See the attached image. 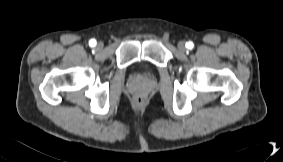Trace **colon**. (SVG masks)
Instances as JSON below:
<instances>
[{
  "instance_id": "obj_1",
  "label": "colon",
  "mask_w": 283,
  "mask_h": 162,
  "mask_svg": "<svg viewBox=\"0 0 283 162\" xmlns=\"http://www.w3.org/2000/svg\"><path fill=\"white\" fill-rule=\"evenodd\" d=\"M136 102L138 104L142 103L143 102V98L141 96L136 97Z\"/></svg>"
}]
</instances>
